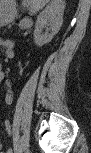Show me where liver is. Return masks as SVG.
Wrapping results in <instances>:
<instances>
[{
    "label": "liver",
    "instance_id": "1",
    "mask_svg": "<svg viewBox=\"0 0 91 153\" xmlns=\"http://www.w3.org/2000/svg\"><path fill=\"white\" fill-rule=\"evenodd\" d=\"M48 2V0H24V3L30 6L32 13H35L43 8V6Z\"/></svg>",
    "mask_w": 91,
    "mask_h": 153
}]
</instances>
